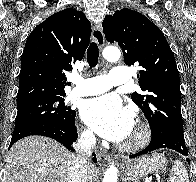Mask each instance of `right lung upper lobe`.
I'll return each mask as SVG.
<instances>
[{
    "mask_svg": "<svg viewBox=\"0 0 196 182\" xmlns=\"http://www.w3.org/2000/svg\"><path fill=\"white\" fill-rule=\"evenodd\" d=\"M91 36L86 16L68 8L39 24L29 35L22 54L17 104L65 95V71L81 60Z\"/></svg>",
    "mask_w": 196,
    "mask_h": 182,
    "instance_id": "obj_1",
    "label": "right lung upper lobe"
}]
</instances>
